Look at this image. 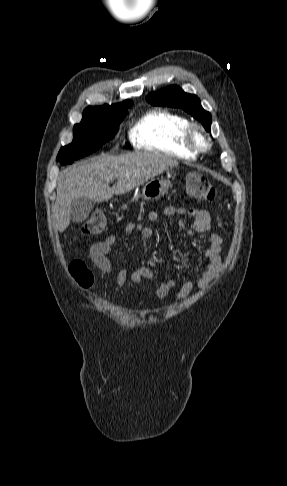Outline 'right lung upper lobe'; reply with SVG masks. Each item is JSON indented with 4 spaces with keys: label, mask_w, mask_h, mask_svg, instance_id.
Returning a JSON list of instances; mask_svg holds the SVG:
<instances>
[{
    "label": "right lung upper lobe",
    "mask_w": 287,
    "mask_h": 486,
    "mask_svg": "<svg viewBox=\"0 0 287 486\" xmlns=\"http://www.w3.org/2000/svg\"><path fill=\"white\" fill-rule=\"evenodd\" d=\"M132 104L133 102L131 100H125L118 104L103 105L99 107H87L85 111L98 110V111H103L111 114H123V113H127V107H130Z\"/></svg>",
    "instance_id": "1"
}]
</instances>
